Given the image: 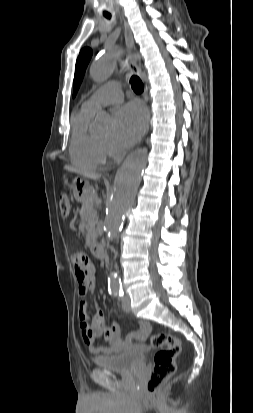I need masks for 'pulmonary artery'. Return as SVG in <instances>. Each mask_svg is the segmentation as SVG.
Returning a JSON list of instances; mask_svg holds the SVG:
<instances>
[{
    "label": "pulmonary artery",
    "instance_id": "pulmonary-artery-1",
    "mask_svg": "<svg viewBox=\"0 0 253 413\" xmlns=\"http://www.w3.org/2000/svg\"><path fill=\"white\" fill-rule=\"evenodd\" d=\"M123 93L117 83H108L95 91L83 104L84 107L96 111L97 109L122 100Z\"/></svg>",
    "mask_w": 253,
    "mask_h": 413
}]
</instances>
